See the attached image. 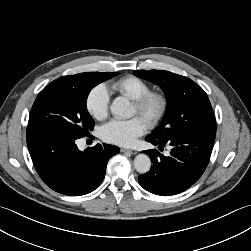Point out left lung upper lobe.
I'll return each mask as SVG.
<instances>
[{"mask_svg":"<svg viewBox=\"0 0 251 251\" xmlns=\"http://www.w3.org/2000/svg\"><path fill=\"white\" fill-rule=\"evenodd\" d=\"M134 74L160 86L168 102L162 123L148 137L166 141L184 133L216 132L207 94L194 81L163 70H135Z\"/></svg>","mask_w":251,"mask_h":251,"instance_id":"obj_1","label":"left lung upper lobe"}]
</instances>
